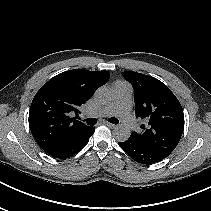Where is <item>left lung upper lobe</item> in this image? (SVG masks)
I'll use <instances>...</instances> for the list:
<instances>
[{
	"label": "left lung upper lobe",
	"mask_w": 211,
	"mask_h": 211,
	"mask_svg": "<svg viewBox=\"0 0 211 211\" xmlns=\"http://www.w3.org/2000/svg\"><path fill=\"white\" fill-rule=\"evenodd\" d=\"M134 88L136 116L141 132L130 136L138 144L166 158L175 149L184 129L183 109L172 91L158 79L137 72H122Z\"/></svg>",
	"instance_id": "left-lung-upper-lobe-1"
}]
</instances>
